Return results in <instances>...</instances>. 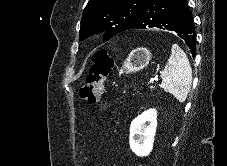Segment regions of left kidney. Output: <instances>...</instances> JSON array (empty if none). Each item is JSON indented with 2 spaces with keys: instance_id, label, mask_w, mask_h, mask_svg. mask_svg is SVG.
Returning <instances> with one entry per match:
<instances>
[{
  "instance_id": "obj_1",
  "label": "left kidney",
  "mask_w": 227,
  "mask_h": 166,
  "mask_svg": "<svg viewBox=\"0 0 227 166\" xmlns=\"http://www.w3.org/2000/svg\"><path fill=\"white\" fill-rule=\"evenodd\" d=\"M157 128V111L149 109L136 117L130 125L129 144L137 156H148L153 149Z\"/></svg>"
}]
</instances>
